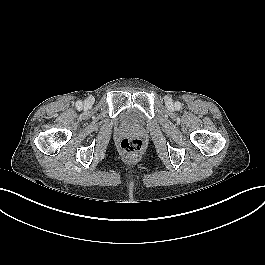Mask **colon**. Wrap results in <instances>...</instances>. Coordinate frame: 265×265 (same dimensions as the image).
<instances>
[{"mask_svg":"<svg viewBox=\"0 0 265 265\" xmlns=\"http://www.w3.org/2000/svg\"><path fill=\"white\" fill-rule=\"evenodd\" d=\"M120 148L127 154H138L144 148V142L138 138H125L120 142Z\"/></svg>","mask_w":265,"mask_h":265,"instance_id":"colon-1","label":"colon"}]
</instances>
